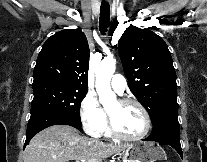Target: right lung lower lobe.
Returning a JSON list of instances; mask_svg holds the SVG:
<instances>
[{
	"instance_id": "98d812e1",
	"label": "right lung lower lobe",
	"mask_w": 207,
	"mask_h": 162,
	"mask_svg": "<svg viewBox=\"0 0 207 162\" xmlns=\"http://www.w3.org/2000/svg\"><path fill=\"white\" fill-rule=\"evenodd\" d=\"M59 124L69 125L76 129L82 127L81 121H77L73 117L57 111L45 110L31 114L28 122L24 148L35 134L49 126Z\"/></svg>"
}]
</instances>
